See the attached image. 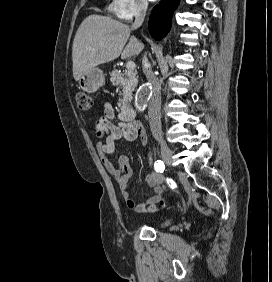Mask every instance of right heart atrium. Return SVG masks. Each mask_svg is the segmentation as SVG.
I'll use <instances>...</instances> for the list:
<instances>
[{
    "label": "right heart atrium",
    "instance_id": "d8ad5b80",
    "mask_svg": "<svg viewBox=\"0 0 272 282\" xmlns=\"http://www.w3.org/2000/svg\"><path fill=\"white\" fill-rule=\"evenodd\" d=\"M147 0H112L109 11L117 19L130 22L147 10Z\"/></svg>",
    "mask_w": 272,
    "mask_h": 282
}]
</instances>
